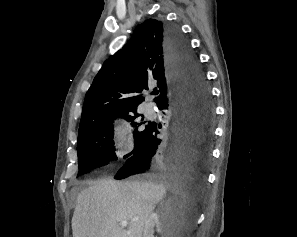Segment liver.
Instances as JSON below:
<instances>
[{
  "mask_svg": "<svg viewBox=\"0 0 297 237\" xmlns=\"http://www.w3.org/2000/svg\"><path fill=\"white\" fill-rule=\"evenodd\" d=\"M166 191L162 181L92 182L77 196L73 237H142L145 222ZM122 221L129 222L127 230Z\"/></svg>",
  "mask_w": 297,
  "mask_h": 237,
  "instance_id": "6515ba94",
  "label": "liver"
}]
</instances>
